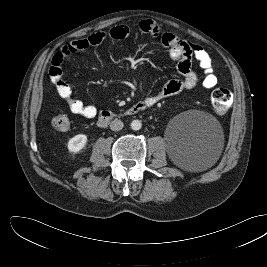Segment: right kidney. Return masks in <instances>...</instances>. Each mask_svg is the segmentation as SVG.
<instances>
[{
	"mask_svg": "<svg viewBox=\"0 0 267 267\" xmlns=\"http://www.w3.org/2000/svg\"><path fill=\"white\" fill-rule=\"evenodd\" d=\"M87 143V136L84 134H78L71 138L68 142V150L72 153H78L82 150Z\"/></svg>",
	"mask_w": 267,
	"mask_h": 267,
	"instance_id": "right-kidney-1",
	"label": "right kidney"
}]
</instances>
